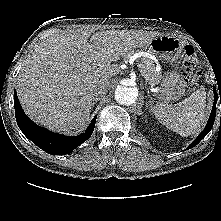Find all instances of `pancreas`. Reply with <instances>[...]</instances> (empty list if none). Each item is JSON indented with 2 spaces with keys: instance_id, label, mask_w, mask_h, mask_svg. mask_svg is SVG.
<instances>
[{
  "instance_id": "obj_1",
  "label": "pancreas",
  "mask_w": 221,
  "mask_h": 221,
  "mask_svg": "<svg viewBox=\"0 0 221 221\" xmlns=\"http://www.w3.org/2000/svg\"><path fill=\"white\" fill-rule=\"evenodd\" d=\"M138 68L148 84L153 86L161 81V72L156 71L155 64L152 60L146 57L141 58L138 63Z\"/></svg>"
}]
</instances>
